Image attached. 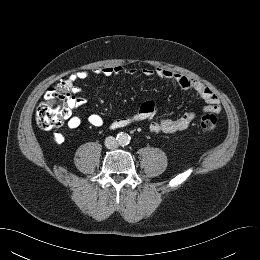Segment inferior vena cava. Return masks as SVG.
I'll list each match as a JSON object with an SVG mask.
<instances>
[{
    "instance_id": "obj_1",
    "label": "inferior vena cava",
    "mask_w": 260,
    "mask_h": 260,
    "mask_svg": "<svg viewBox=\"0 0 260 260\" xmlns=\"http://www.w3.org/2000/svg\"><path fill=\"white\" fill-rule=\"evenodd\" d=\"M105 146L108 149H115L118 147V142L115 139V137L109 136V137H106V139H105Z\"/></svg>"
}]
</instances>
